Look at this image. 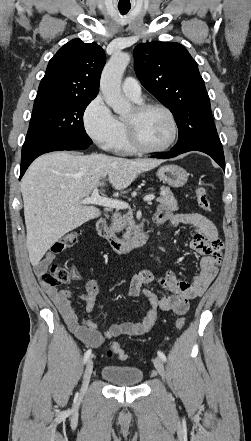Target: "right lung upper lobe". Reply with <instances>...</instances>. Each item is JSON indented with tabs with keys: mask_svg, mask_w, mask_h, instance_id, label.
Returning <instances> with one entry per match:
<instances>
[{
	"mask_svg": "<svg viewBox=\"0 0 251 441\" xmlns=\"http://www.w3.org/2000/svg\"><path fill=\"white\" fill-rule=\"evenodd\" d=\"M105 62V52L96 43L71 40L49 61L35 101L95 98Z\"/></svg>",
	"mask_w": 251,
	"mask_h": 441,
	"instance_id": "right-lung-upper-lobe-1",
	"label": "right lung upper lobe"
}]
</instances>
